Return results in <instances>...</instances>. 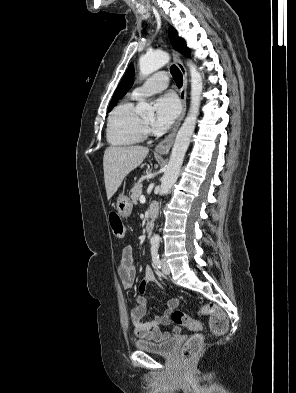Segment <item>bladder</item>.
<instances>
[{
    "mask_svg": "<svg viewBox=\"0 0 296 393\" xmlns=\"http://www.w3.org/2000/svg\"><path fill=\"white\" fill-rule=\"evenodd\" d=\"M177 346V340L174 337H167L160 341L137 340L135 342L136 349L161 356H170Z\"/></svg>",
    "mask_w": 296,
    "mask_h": 393,
    "instance_id": "1",
    "label": "bladder"
}]
</instances>
